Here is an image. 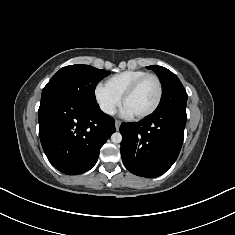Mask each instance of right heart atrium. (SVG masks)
<instances>
[{
	"instance_id": "d8ad5b80",
	"label": "right heart atrium",
	"mask_w": 235,
	"mask_h": 235,
	"mask_svg": "<svg viewBox=\"0 0 235 235\" xmlns=\"http://www.w3.org/2000/svg\"><path fill=\"white\" fill-rule=\"evenodd\" d=\"M94 97L101 111L107 115H113L120 105V98L102 83L95 86Z\"/></svg>"
}]
</instances>
